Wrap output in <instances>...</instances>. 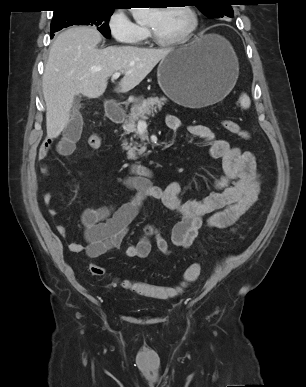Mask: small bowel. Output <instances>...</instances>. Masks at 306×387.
Returning <instances> with one entry per match:
<instances>
[{
	"label": "small bowel",
	"instance_id": "small-bowel-1",
	"mask_svg": "<svg viewBox=\"0 0 306 387\" xmlns=\"http://www.w3.org/2000/svg\"><path fill=\"white\" fill-rule=\"evenodd\" d=\"M165 122L173 132L182 127L181 120L175 115H167ZM187 131L206 143L211 158L221 160L223 173L212 182L210 193L200 200H183L181 194L185 184L181 181H172L164 187H158L146 178H129L125 185L132 194L127 201L119 206L83 210L81 222L84 226L85 243H70L71 252L85 253L90 258H96L120 248L133 220L148 199L160 201L167 210L178 216L179 220L172 228L171 242L179 248H189L205 222L213 228H227L257 201L260 193V174L254 154L231 146L227 140L217 137L208 126L193 124L187 127ZM80 133V121L72 120L55 145L57 153L70 156L75 150ZM52 147V141L45 140L38 149L39 159L47 157ZM40 171L43 175L48 173L44 164L41 165ZM43 199L50 215H57L52 205L51 192L46 191ZM57 231L61 236L67 234L63 225H58ZM153 245L164 255L171 252L169 243L160 230L149 224L143 227L138 240L127 245L124 255L128 258H146L150 255Z\"/></svg>",
	"mask_w": 306,
	"mask_h": 387
}]
</instances>
